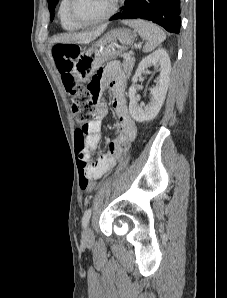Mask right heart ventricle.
<instances>
[{
	"instance_id": "right-heart-ventricle-1",
	"label": "right heart ventricle",
	"mask_w": 227,
	"mask_h": 298,
	"mask_svg": "<svg viewBox=\"0 0 227 298\" xmlns=\"http://www.w3.org/2000/svg\"><path fill=\"white\" fill-rule=\"evenodd\" d=\"M67 3L68 0H61L59 8H58V16L61 22V25L66 30H76L80 28V26L74 24L67 15Z\"/></svg>"
}]
</instances>
